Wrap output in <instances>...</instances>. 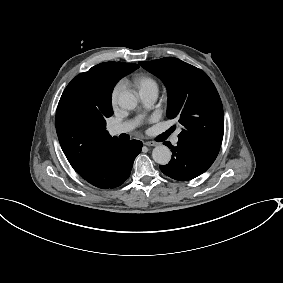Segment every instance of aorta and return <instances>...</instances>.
<instances>
[{"mask_svg":"<svg viewBox=\"0 0 283 283\" xmlns=\"http://www.w3.org/2000/svg\"><path fill=\"white\" fill-rule=\"evenodd\" d=\"M118 104L122 109L132 110L137 106V99L129 92H122L118 97ZM152 157L156 163L166 165L171 160V151L167 146L159 145L153 149Z\"/></svg>","mask_w":283,"mask_h":283,"instance_id":"762f6f07","label":"aorta"}]
</instances>
